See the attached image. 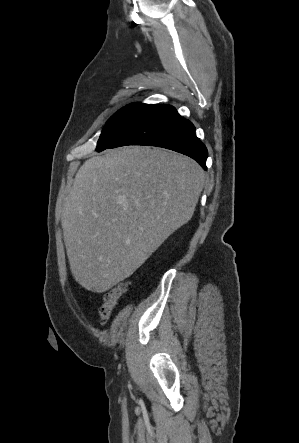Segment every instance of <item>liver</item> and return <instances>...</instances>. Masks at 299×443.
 Listing matches in <instances>:
<instances>
[{"label":"liver","instance_id":"6515ba94","mask_svg":"<svg viewBox=\"0 0 299 443\" xmlns=\"http://www.w3.org/2000/svg\"><path fill=\"white\" fill-rule=\"evenodd\" d=\"M204 184L195 160L161 148L128 146L85 161L61 217L76 282L103 293L131 276L192 218Z\"/></svg>","mask_w":299,"mask_h":443}]
</instances>
